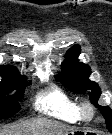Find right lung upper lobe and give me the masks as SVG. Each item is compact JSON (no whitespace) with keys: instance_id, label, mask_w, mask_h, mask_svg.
I'll return each mask as SVG.
<instances>
[{"instance_id":"right-lung-upper-lobe-1","label":"right lung upper lobe","mask_w":112,"mask_h":135,"mask_svg":"<svg viewBox=\"0 0 112 135\" xmlns=\"http://www.w3.org/2000/svg\"><path fill=\"white\" fill-rule=\"evenodd\" d=\"M0 74L2 75L3 78H8V77H11V76L24 77V76L19 74L18 70L15 67L8 66V65L0 66Z\"/></svg>"}]
</instances>
